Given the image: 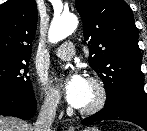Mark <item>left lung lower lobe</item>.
<instances>
[{"label":"left lung lower lobe","instance_id":"obj_1","mask_svg":"<svg viewBox=\"0 0 147 131\" xmlns=\"http://www.w3.org/2000/svg\"><path fill=\"white\" fill-rule=\"evenodd\" d=\"M101 120L129 121L147 131V103L127 101L111 106H105L96 114L82 120V124Z\"/></svg>","mask_w":147,"mask_h":131}]
</instances>
